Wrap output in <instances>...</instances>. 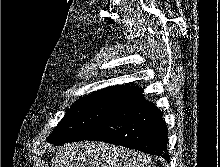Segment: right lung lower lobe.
<instances>
[{
	"mask_svg": "<svg viewBox=\"0 0 220 167\" xmlns=\"http://www.w3.org/2000/svg\"><path fill=\"white\" fill-rule=\"evenodd\" d=\"M83 140L122 145L169 161L167 128L162 113L144 98L141 89L117 98Z\"/></svg>",
	"mask_w": 220,
	"mask_h": 167,
	"instance_id": "1",
	"label": "right lung lower lobe"
}]
</instances>
